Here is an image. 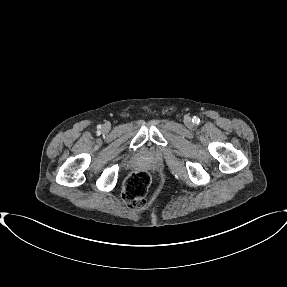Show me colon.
<instances>
[{
    "instance_id": "obj_1",
    "label": "colon",
    "mask_w": 287,
    "mask_h": 287,
    "mask_svg": "<svg viewBox=\"0 0 287 287\" xmlns=\"http://www.w3.org/2000/svg\"><path fill=\"white\" fill-rule=\"evenodd\" d=\"M150 176L145 171L130 174L123 185V200L132 209H141L147 203Z\"/></svg>"
}]
</instances>
